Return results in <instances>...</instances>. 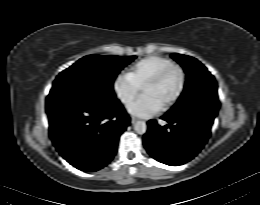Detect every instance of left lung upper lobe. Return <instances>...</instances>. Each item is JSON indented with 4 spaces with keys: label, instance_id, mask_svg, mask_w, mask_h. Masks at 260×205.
<instances>
[{
    "label": "left lung upper lobe",
    "instance_id": "1",
    "mask_svg": "<svg viewBox=\"0 0 260 205\" xmlns=\"http://www.w3.org/2000/svg\"><path fill=\"white\" fill-rule=\"evenodd\" d=\"M171 57L184 68L186 83L180 98L168 113H196L215 118L220 102L214 76L191 56L173 53Z\"/></svg>",
    "mask_w": 260,
    "mask_h": 205
}]
</instances>
